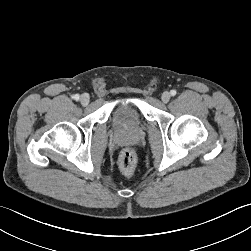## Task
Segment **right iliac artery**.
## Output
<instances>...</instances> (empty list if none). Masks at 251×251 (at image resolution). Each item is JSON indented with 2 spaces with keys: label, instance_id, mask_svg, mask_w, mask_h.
I'll return each mask as SVG.
<instances>
[{
  "label": "right iliac artery",
  "instance_id": "obj_1",
  "mask_svg": "<svg viewBox=\"0 0 251 251\" xmlns=\"http://www.w3.org/2000/svg\"><path fill=\"white\" fill-rule=\"evenodd\" d=\"M73 98L77 101V100H79L80 96H79L78 94H75V95L73 96Z\"/></svg>",
  "mask_w": 251,
  "mask_h": 251
}]
</instances>
